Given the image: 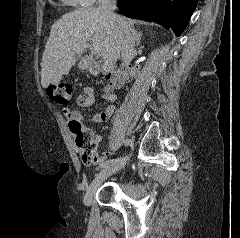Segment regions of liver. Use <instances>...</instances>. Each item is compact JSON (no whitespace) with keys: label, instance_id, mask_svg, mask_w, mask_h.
<instances>
[{"label":"liver","instance_id":"obj_1","mask_svg":"<svg viewBox=\"0 0 240 238\" xmlns=\"http://www.w3.org/2000/svg\"><path fill=\"white\" fill-rule=\"evenodd\" d=\"M123 18V17H122ZM132 26V21L123 18ZM122 28L97 8H80L63 15L51 27L41 61V85L58 84L74 62L91 47L113 64L120 57Z\"/></svg>","mask_w":240,"mask_h":238}]
</instances>
